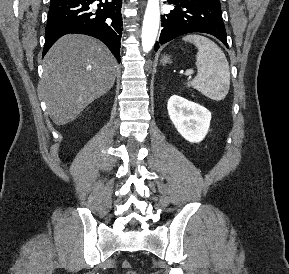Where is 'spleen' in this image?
Masks as SVG:
<instances>
[{"label": "spleen", "instance_id": "3e777b00", "mask_svg": "<svg viewBox=\"0 0 289 274\" xmlns=\"http://www.w3.org/2000/svg\"><path fill=\"white\" fill-rule=\"evenodd\" d=\"M183 40L193 43L198 49V73L188 86L212 100H223L230 87V70L225 54L216 43L202 35H186Z\"/></svg>", "mask_w": 289, "mask_h": 274}]
</instances>
